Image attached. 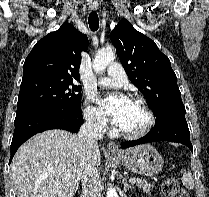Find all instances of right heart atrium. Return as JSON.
<instances>
[{"mask_svg": "<svg viewBox=\"0 0 209 197\" xmlns=\"http://www.w3.org/2000/svg\"><path fill=\"white\" fill-rule=\"evenodd\" d=\"M83 114L91 128L97 131H103L107 128L108 120L104 113L94 104L93 98H86Z\"/></svg>", "mask_w": 209, "mask_h": 197, "instance_id": "obj_1", "label": "right heart atrium"}]
</instances>
